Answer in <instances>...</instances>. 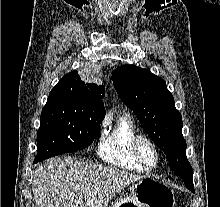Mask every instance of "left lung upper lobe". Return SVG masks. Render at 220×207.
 <instances>
[{"label":"left lung upper lobe","instance_id":"obj_1","mask_svg":"<svg viewBox=\"0 0 220 207\" xmlns=\"http://www.w3.org/2000/svg\"><path fill=\"white\" fill-rule=\"evenodd\" d=\"M113 84L120 99L137 119L169 163H185L186 142L182 136L181 113L165 81L149 70L122 65L113 71Z\"/></svg>","mask_w":220,"mask_h":207}]
</instances>
